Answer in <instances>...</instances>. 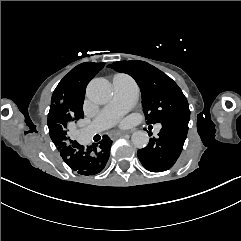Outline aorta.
<instances>
[{"label":"aorta","instance_id":"aorta-1","mask_svg":"<svg viewBox=\"0 0 241 241\" xmlns=\"http://www.w3.org/2000/svg\"><path fill=\"white\" fill-rule=\"evenodd\" d=\"M87 97L94 103L105 104L112 96L111 84L104 78H95L87 86ZM133 145L139 149L149 143V135L146 131H136L131 136Z\"/></svg>","mask_w":241,"mask_h":241}]
</instances>
